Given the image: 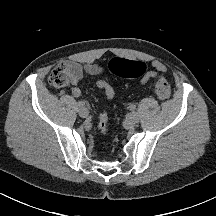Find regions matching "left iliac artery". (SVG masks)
<instances>
[{"label": "left iliac artery", "mask_w": 216, "mask_h": 216, "mask_svg": "<svg viewBox=\"0 0 216 216\" xmlns=\"http://www.w3.org/2000/svg\"><path fill=\"white\" fill-rule=\"evenodd\" d=\"M129 108H130V110H135V109H136V105H135V104H131V105L129 106Z\"/></svg>", "instance_id": "left-iliac-artery-1"}]
</instances>
